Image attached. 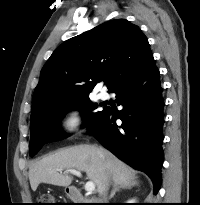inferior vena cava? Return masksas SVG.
<instances>
[{
    "label": "inferior vena cava",
    "mask_w": 200,
    "mask_h": 205,
    "mask_svg": "<svg viewBox=\"0 0 200 205\" xmlns=\"http://www.w3.org/2000/svg\"><path fill=\"white\" fill-rule=\"evenodd\" d=\"M107 192H108V185L103 186L102 189L99 191V194L105 203L107 201Z\"/></svg>",
    "instance_id": "1"
}]
</instances>
